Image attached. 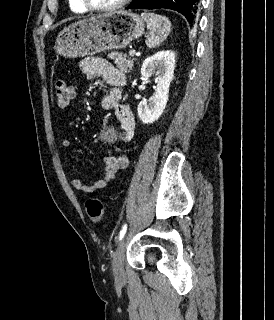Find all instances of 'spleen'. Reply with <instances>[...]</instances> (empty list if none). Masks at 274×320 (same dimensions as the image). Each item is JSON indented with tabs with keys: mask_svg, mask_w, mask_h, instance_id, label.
Returning a JSON list of instances; mask_svg holds the SVG:
<instances>
[{
	"mask_svg": "<svg viewBox=\"0 0 274 320\" xmlns=\"http://www.w3.org/2000/svg\"><path fill=\"white\" fill-rule=\"evenodd\" d=\"M141 16L144 22H146L150 32V36L148 40H146L147 46L154 48V46H158V44L164 42L171 30V24L168 18L159 16V14H151V12H147V10H144Z\"/></svg>",
	"mask_w": 274,
	"mask_h": 320,
	"instance_id": "3e777b00",
	"label": "spleen"
}]
</instances>
